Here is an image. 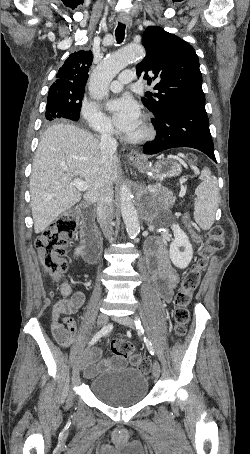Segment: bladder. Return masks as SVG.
Instances as JSON below:
<instances>
[{"mask_svg": "<svg viewBox=\"0 0 250 454\" xmlns=\"http://www.w3.org/2000/svg\"><path fill=\"white\" fill-rule=\"evenodd\" d=\"M148 390L147 375L131 366H118L116 369L105 371L90 382L91 393L100 402L111 407L138 404L146 397Z\"/></svg>", "mask_w": 250, "mask_h": 454, "instance_id": "bladder-1", "label": "bladder"}]
</instances>
